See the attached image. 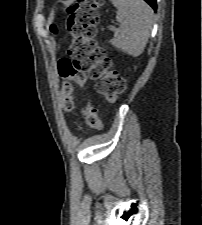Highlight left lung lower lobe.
I'll return each instance as SVG.
<instances>
[{"instance_id":"1","label":"left lung lower lobe","mask_w":202,"mask_h":225,"mask_svg":"<svg viewBox=\"0 0 202 225\" xmlns=\"http://www.w3.org/2000/svg\"><path fill=\"white\" fill-rule=\"evenodd\" d=\"M146 1L155 11L157 9L156 0H144Z\"/></svg>"}]
</instances>
